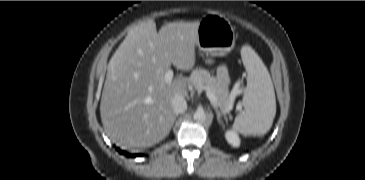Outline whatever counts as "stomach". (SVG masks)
Wrapping results in <instances>:
<instances>
[{
    "mask_svg": "<svg viewBox=\"0 0 365 180\" xmlns=\"http://www.w3.org/2000/svg\"><path fill=\"white\" fill-rule=\"evenodd\" d=\"M197 34L196 46L203 52L225 56L235 46V29L227 19L220 16H204L199 21Z\"/></svg>",
    "mask_w": 365,
    "mask_h": 180,
    "instance_id": "stomach-1",
    "label": "stomach"
}]
</instances>
